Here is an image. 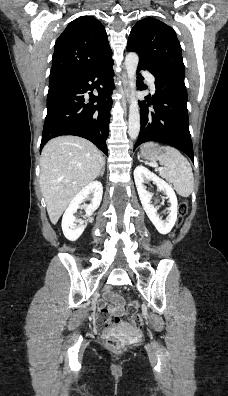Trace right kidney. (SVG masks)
I'll list each match as a JSON object with an SVG mask.
<instances>
[{"mask_svg":"<svg viewBox=\"0 0 228 396\" xmlns=\"http://www.w3.org/2000/svg\"><path fill=\"white\" fill-rule=\"evenodd\" d=\"M102 195L103 187L101 182L93 181L73 198L62 218V230L68 240L76 241L84 231L83 221H78L74 216L80 205L87 199L91 200L89 205H84L86 216L88 217L100 206Z\"/></svg>","mask_w":228,"mask_h":396,"instance_id":"right-kidney-1","label":"right kidney"}]
</instances>
